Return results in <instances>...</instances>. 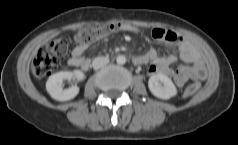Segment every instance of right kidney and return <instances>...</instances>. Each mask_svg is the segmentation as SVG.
<instances>
[{
  "label": "right kidney",
  "instance_id": "1",
  "mask_svg": "<svg viewBox=\"0 0 238 145\" xmlns=\"http://www.w3.org/2000/svg\"><path fill=\"white\" fill-rule=\"evenodd\" d=\"M72 78L82 80L84 78V74L82 71L75 70L61 71L51 75L46 82L47 92L53 99L58 101H68L73 99L79 93V87L77 85H73L68 89H64L62 85L64 80Z\"/></svg>",
  "mask_w": 238,
  "mask_h": 145
}]
</instances>
